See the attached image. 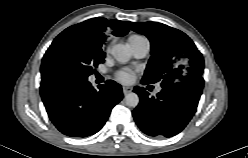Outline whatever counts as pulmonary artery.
I'll use <instances>...</instances> for the list:
<instances>
[{
  "mask_svg": "<svg viewBox=\"0 0 248 158\" xmlns=\"http://www.w3.org/2000/svg\"><path fill=\"white\" fill-rule=\"evenodd\" d=\"M128 46L132 51V54L136 58H144L150 51V42L146 37L143 36H131L128 39ZM161 87H157L155 92H160Z\"/></svg>",
  "mask_w": 248,
  "mask_h": 158,
  "instance_id": "obj_1",
  "label": "pulmonary artery"
}]
</instances>
